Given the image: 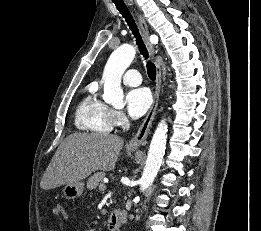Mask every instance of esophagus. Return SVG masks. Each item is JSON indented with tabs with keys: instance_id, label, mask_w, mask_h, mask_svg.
<instances>
[{
	"instance_id": "obj_1",
	"label": "esophagus",
	"mask_w": 261,
	"mask_h": 231,
	"mask_svg": "<svg viewBox=\"0 0 261 231\" xmlns=\"http://www.w3.org/2000/svg\"><path fill=\"white\" fill-rule=\"evenodd\" d=\"M127 5L132 8L133 2L127 1ZM138 22L139 26L142 31V35L144 38V41L146 43L147 49L154 59L155 65H156V87H155V92H154V98H153V104L151 108L149 109L145 119L143 120L142 124L140 125L137 133L135 136L129 141L127 144V147L129 148H138L140 145H142L145 142V139L149 133L152 121L156 115V110L158 106V101H159V94H160V89H161V83H162V72H161V67L157 59L155 58V49H154V44L158 42V36L153 35L152 38L149 37V29L148 25L145 21V18L138 14L135 10H133Z\"/></svg>"
}]
</instances>
